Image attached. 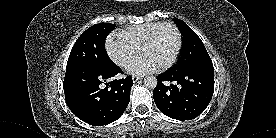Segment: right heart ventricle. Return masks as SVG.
<instances>
[{"instance_id": "obj_1", "label": "right heart ventricle", "mask_w": 276, "mask_h": 138, "mask_svg": "<svg viewBox=\"0 0 276 138\" xmlns=\"http://www.w3.org/2000/svg\"><path fill=\"white\" fill-rule=\"evenodd\" d=\"M161 24L162 22H149L138 24L121 30L118 34L121 37L129 40L135 47L140 49L144 41Z\"/></svg>"}]
</instances>
